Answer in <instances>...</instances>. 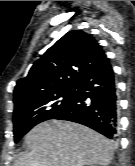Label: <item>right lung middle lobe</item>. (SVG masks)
I'll list each match as a JSON object with an SVG mask.
<instances>
[{
    "mask_svg": "<svg viewBox=\"0 0 135 166\" xmlns=\"http://www.w3.org/2000/svg\"><path fill=\"white\" fill-rule=\"evenodd\" d=\"M75 89L71 87L15 108L13 115L15 142H18L35 125L51 119L56 113L68 107L74 100Z\"/></svg>",
    "mask_w": 135,
    "mask_h": 166,
    "instance_id": "right-lung-middle-lobe-1",
    "label": "right lung middle lobe"
}]
</instances>
